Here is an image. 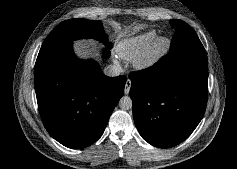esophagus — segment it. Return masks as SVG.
<instances>
[{
	"label": "esophagus",
	"instance_id": "esophagus-1",
	"mask_svg": "<svg viewBox=\"0 0 237 169\" xmlns=\"http://www.w3.org/2000/svg\"><path fill=\"white\" fill-rule=\"evenodd\" d=\"M130 87H131V80L128 79V80L126 81V84H125V89H124V93H125V94H128V93H129Z\"/></svg>",
	"mask_w": 237,
	"mask_h": 169
}]
</instances>
